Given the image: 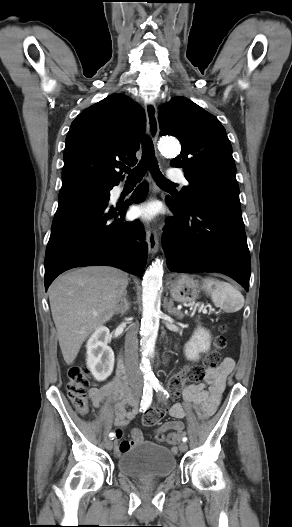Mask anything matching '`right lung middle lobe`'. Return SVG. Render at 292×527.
I'll return each instance as SVG.
<instances>
[{
	"instance_id": "dd1d6c3e",
	"label": "right lung middle lobe",
	"mask_w": 292,
	"mask_h": 527,
	"mask_svg": "<svg viewBox=\"0 0 292 527\" xmlns=\"http://www.w3.org/2000/svg\"><path fill=\"white\" fill-rule=\"evenodd\" d=\"M113 185L102 184L89 179H73L66 182H62V188L60 191L64 190H88L95 191L102 194H109Z\"/></svg>"
}]
</instances>
